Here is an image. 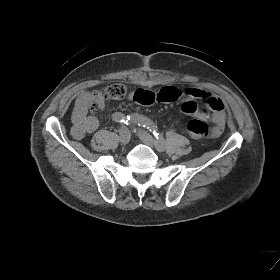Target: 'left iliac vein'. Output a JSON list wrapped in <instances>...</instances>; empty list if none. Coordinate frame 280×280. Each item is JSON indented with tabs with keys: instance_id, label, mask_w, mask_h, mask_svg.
<instances>
[{
	"instance_id": "1",
	"label": "left iliac vein",
	"mask_w": 280,
	"mask_h": 280,
	"mask_svg": "<svg viewBox=\"0 0 280 280\" xmlns=\"http://www.w3.org/2000/svg\"><path fill=\"white\" fill-rule=\"evenodd\" d=\"M137 134H138L140 140L144 144L148 145L151 148H153L155 146V141H154L153 137L148 132H146L144 130H138ZM156 148H157L158 151H164V148H159L157 146H156Z\"/></svg>"
}]
</instances>
